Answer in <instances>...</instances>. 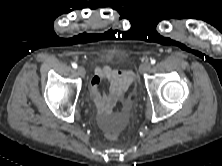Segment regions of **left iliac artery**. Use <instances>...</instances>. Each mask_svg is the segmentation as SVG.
<instances>
[{
  "label": "left iliac artery",
  "instance_id": "left-iliac-artery-1",
  "mask_svg": "<svg viewBox=\"0 0 222 166\" xmlns=\"http://www.w3.org/2000/svg\"><path fill=\"white\" fill-rule=\"evenodd\" d=\"M156 60L155 59H151V64H155Z\"/></svg>",
  "mask_w": 222,
  "mask_h": 166
}]
</instances>
